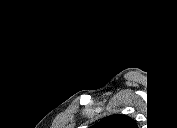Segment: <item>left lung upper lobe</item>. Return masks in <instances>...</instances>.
Here are the masks:
<instances>
[{
  "instance_id": "left-lung-upper-lobe-1",
  "label": "left lung upper lobe",
  "mask_w": 177,
  "mask_h": 128,
  "mask_svg": "<svg viewBox=\"0 0 177 128\" xmlns=\"http://www.w3.org/2000/svg\"><path fill=\"white\" fill-rule=\"evenodd\" d=\"M98 126L101 128H136L134 120L125 115H111L102 119Z\"/></svg>"
}]
</instances>
